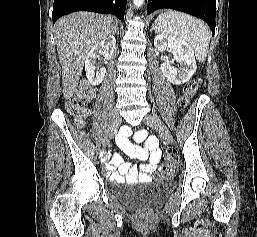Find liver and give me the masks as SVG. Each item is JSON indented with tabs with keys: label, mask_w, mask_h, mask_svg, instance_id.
I'll list each match as a JSON object with an SVG mask.
<instances>
[{
	"label": "liver",
	"mask_w": 257,
	"mask_h": 237,
	"mask_svg": "<svg viewBox=\"0 0 257 237\" xmlns=\"http://www.w3.org/2000/svg\"><path fill=\"white\" fill-rule=\"evenodd\" d=\"M118 28L112 16L90 12H77L56 22L55 39L62 66L63 95L70 99L76 90L88 52L112 36Z\"/></svg>",
	"instance_id": "obj_1"
}]
</instances>
